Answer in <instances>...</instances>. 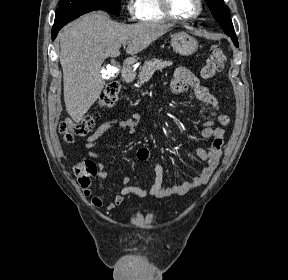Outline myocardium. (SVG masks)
I'll use <instances>...</instances> for the list:
<instances>
[{"label":"myocardium","mask_w":288,"mask_h":280,"mask_svg":"<svg viewBox=\"0 0 288 280\" xmlns=\"http://www.w3.org/2000/svg\"><path fill=\"white\" fill-rule=\"evenodd\" d=\"M159 5H160V9L162 13L165 15L167 19L174 21V22H182V23L190 22V21L197 19L203 10V0H197V10L195 11V13L189 17L182 18V17L176 16L172 12L169 0H159Z\"/></svg>","instance_id":"1"}]
</instances>
